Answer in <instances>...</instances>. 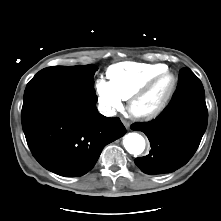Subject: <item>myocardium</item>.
Instances as JSON below:
<instances>
[{"instance_id": "1", "label": "myocardium", "mask_w": 221, "mask_h": 221, "mask_svg": "<svg viewBox=\"0 0 221 221\" xmlns=\"http://www.w3.org/2000/svg\"><path fill=\"white\" fill-rule=\"evenodd\" d=\"M170 78V85L168 90L160 103L152 110L140 111L137 109L138 103L143 100L148 94H150L154 88L165 78ZM177 85V77L173 72L166 69L154 76L150 81H148L140 90L134 93L128 102V110L132 117L141 120H150L158 115H160L164 109L167 107L169 101L171 100L173 93Z\"/></svg>"}]
</instances>
